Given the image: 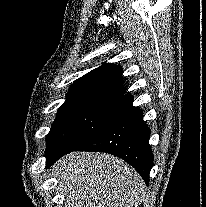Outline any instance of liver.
<instances>
[{
	"label": "liver",
	"mask_w": 206,
	"mask_h": 207,
	"mask_svg": "<svg viewBox=\"0 0 206 207\" xmlns=\"http://www.w3.org/2000/svg\"><path fill=\"white\" fill-rule=\"evenodd\" d=\"M54 171L65 207H138L145 198L141 176L110 154L72 152Z\"/></svg>",
	"instance_id": "6515ba94"
}]
</instances>
